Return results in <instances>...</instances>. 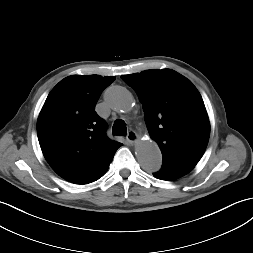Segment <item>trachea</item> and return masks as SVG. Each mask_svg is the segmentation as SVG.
Wrapping results in <instances>:
<instances>
[{
	"label": "trachea",
	"instance_id": "1",
	"mask_svg": "<svg viewBox=\"0 0 253 253\" xmlns=\"http://www.w3.org/2000/svg\"><path fill=\"white\" fill-rule=\"evenodd\" d=\"M126 132V123L120 119L116 120L112 128V133L117 136H125Z\"/></svg>",
	"mask_w": 253,
	"mask_h": 253
}]
</instances>
